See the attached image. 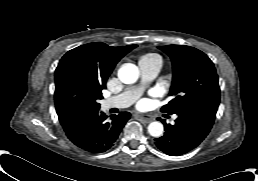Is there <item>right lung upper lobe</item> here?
I'll return each mask as SVG.
<instances>
[{"mask_svg": "<svg viewBox=\"0 0 258 181\" xmlns=\"http://www.w3.org/2000/svg\"><path fill=\"white\" fill-rule=\"evenodd\" d=\"M137 45L111 47L101 42L89 43L67 52L55 71L56 82L69 69L75 70L95 88L103 90L117 62Z\"/></svg>", "mask_w": 258, "mask_h": 181, "instance_id": "cb5924a9", "label": "right lung upper lobe"}]
</instances>
